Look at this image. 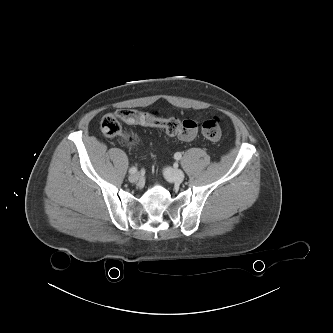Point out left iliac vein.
Segmentation results:
<instances>
[{"label":"left iliac vein","instance_id":"4c4485c4","mask_svg":"<svg viewBox=\"0 0 333 333\" xmlns=\"http://www.w3.org/2000/svg\"><path fill=\"white\" fill-rule=\"evenodd\" d=\"M164 175L169 181L175 183H181L185 178L184 172L180 169L167 168L164 172Z\"/></svg>","mask_w":333,"mask_h":333}]
</instances>
